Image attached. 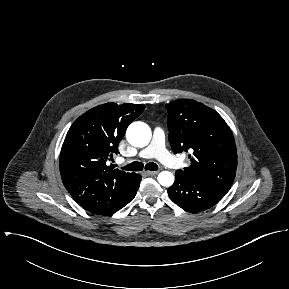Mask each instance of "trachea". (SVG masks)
I'll use <instances>...</instances> for the list:
<instances>
[{
    "mask_svg": "<svg viewBox=\"0 0 289 289\" xmlns=\"http://www.w3.org/2000/svg\"><path fill=\"white\" fill-rule=\"evenodd\" d=\"M143 167H144L143 163L133 162L122 167V169L127 170V171H141L143 170ZM145 169L150 170V171H156L158 169V166L157 164L150 162L145 165Z\"/></svg>",
    "mask_w": 289,
    "mask_h": 289,
    "instance_id": "trachea-1",
    "label": "trachea"
}]
</instances>
